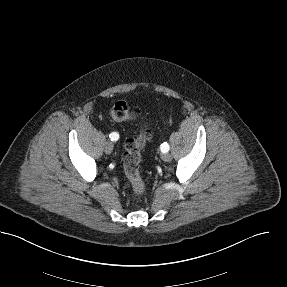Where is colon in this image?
Masks as SVG:
<instances>
[{"instance_id":"obj_1","label":"colon","mask_w":287,"mask_h":287,"mask_svg":"<svg viewBox=\"0 0 287 287\" xmlns=\"http://www.w3.org/2000/svg\"><path fill=\"white\" fill-rule=\"evenodd\" d=\"M110 115L116 121H131L138 119L140 112L125 101H117L112 106ZM151 134V129L144 125L137 135L129 138L125 143L123 167L132 189L137 195L143 194L146 190L140 173V162L141 151L151 138Z\"/></svg>"}]
</instances>
